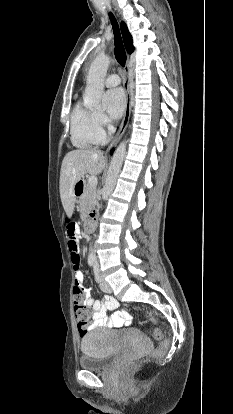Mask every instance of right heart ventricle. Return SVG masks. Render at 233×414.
I'll list each match as a JSON object with an SVG mask.
<instances>
[{
  "label": "right heart ventricle",
  "mask_w": 233,
  "mask_h": 414,
  "mask_svg": "<svg viewBox=\"0 0 233 414\" xmlns=\"http://www.w3.org/2000/svg\"><path fill=\"white\" fill-rule=\"evenodd\" d=\"M71 141L78 148H91L103 140L100 137L95 113L82 103L75 104L70 117Z\"/></svg>",
  "instance_id": "right-heart-ventricle-1"
}]
</instances>
